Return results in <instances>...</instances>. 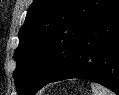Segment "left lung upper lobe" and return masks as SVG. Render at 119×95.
I'll return each mask as SVG.
<instances>
[{
    "label": "left lung upper lobe",
    "instance_id": "5c2ea615",
    "mask_svg": "<svg viewBox=\"0 0 119 95\" xmlns=\"http://www.w3.org/2000/svg\"><path fill=\"white\" fill-rule=\"evenodd\" d=\"M116 1L35 0L19 31L14 53L17 92L32 95L61 74L85 32ZM30 71L29 78H24Z\"/></svg>",
    "mask_w": 119,
    "mask_h": 95
}]
</instances>
